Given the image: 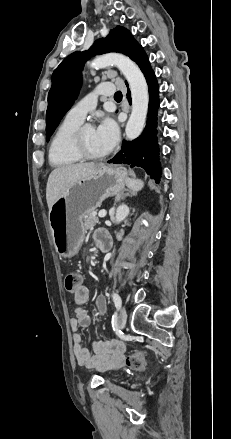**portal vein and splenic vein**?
<instances>
[{
	"mask_svg": "<svg viewBox=\"0 0 231 439\" xmlns=\"http://www.w3.org/2000/svg\"><path fill=\"white\" fill-rule=\"evenodd\" d=\"M106 214H107L106 210H101V211L98 213V216H99L100 218H104V217L106 216Z\"/></svg>",
	"mask_w": 231,
	"mask_h": 439,
	"instance_id": "obj_1",
	"label": "portal vein and splenic vein"
}]
</instances>
